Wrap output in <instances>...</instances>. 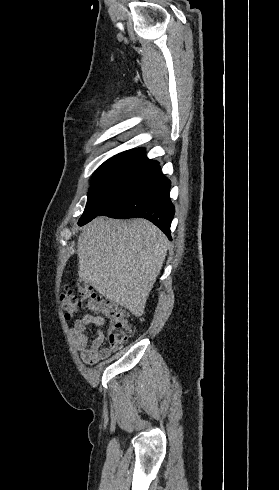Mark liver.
<instances>
[{
    "label": "liver",
    "mask_w": 279,
    "mask_h": 490,
    "mask_svg": "<svg viewBox=\"0 0 279 490\" xmlns=\"http://www.w3.org/2000/svg\"><path fill=\"white\" fill-rule=\"evenodd\" d=\"M167 242L148 220L95 218L78 238L79 278L141 318L165 262Z\"/></svg>",
    "instance_id": "1"
}]
</instances>
